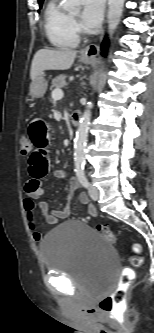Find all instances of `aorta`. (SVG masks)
Segmentation results:
<instances>
[{
    "instance_id": "1",
    "label": "aorta",
    "mask_w": 154,
    "mask_h": 333,
    "mask_svg": "<svg viewBox=\"0 0 154 333\" xmlns=\"http://www.w3.org/2000/svg\"><path fill=\"white\" fill-rule=\"evenodd\" d=\"M125 0H109L108 8V34L111 37L119 25ZM64 9L67 11H79L80 0H64ZM91 107L92 104L89 103V107L84 111L76 132V138L74 141V163L76 169H82L85 165V155H86V143L88 136V129L90 125L91 118Z\"/></svg>"
}]
</instances>
